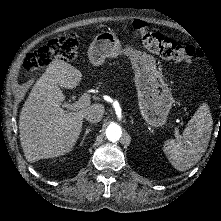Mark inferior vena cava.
Masks as SVG:
<instances>
[{
  "mask_svg": "<svg viewBox=\"0 0 221 221\" xmlns=\"http://www.w3.org/2000/svg\"><path fill=\"white\" fill-rule=\"evenodd\" d=\"M104 112L93 110L85 114L84 118L90 123H98L103 119Z\"/></svg>",
  "mask_w": 221,
  "mask_h": 221,
  "instance_id": "obj_1",
  "label": "inferior vena cava"
}]
</instances>
